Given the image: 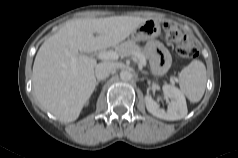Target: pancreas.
Returning a JSON list of instances; mask_svg holds the SVG:
<instances>
[{"instance_id":"obj_1","label":"pancreas","mask_w":238,"mask_h":158,"mask_svg":"<svg viewBox=\"0 0 238 158\" xmlns=\"http://www.w3.org/2000/svg\"><path fill=\"white\" fill-rule=\"evenodd\" d=\"M114 51L119 54V56H135L138 54L142 56L146 60V56L142 50V48L135 43L133 40L125 41L114 48Z\"/></svg>"}]
</instances>
